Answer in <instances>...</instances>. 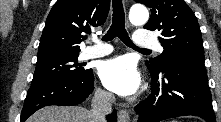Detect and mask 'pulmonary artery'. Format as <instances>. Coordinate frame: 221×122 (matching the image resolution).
Segmentation results:
<instances>
[{
    "mask_svg": "<svg viewBox=\"0 0 221 122\" xmlns=\"http://www.w3.org/2000/svg\"><path fill=\"white\" fill-rule=\"evenodd\" d=\"M94 45L88 46L82 53L83 59L98 58L108 55L112 52L113 48L106 43L101 42L96 37L91 38ZM134 43L137 47L142 49H155L158 52L162 51V47L159 44L156 37L146 31H138L134 37Z\"/></svg>",
    "mask_w": 221,
    "mask_h": 122,
    "instance_id": "1",
    "label": "pulmonary artery"
}]
</instances>
